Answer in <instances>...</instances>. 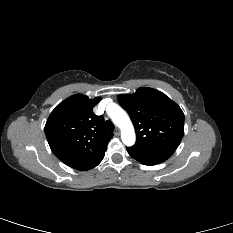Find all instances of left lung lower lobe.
<instances>
[{
    "label": "left lung lower lobe",
    "instance_id": "obj_1",
    "mask_svg": "<svg viewBox=\"0 0 233 233\" xmlns=\"http://www.w3.org/2000/svg\"><path fill=\"white\" fill-rule=\"evenodd\" d=\"M127 152L144 165H156L166 161L174 151L146 149L138 146L128 147Z\"/></svg>",
    "mask_w": 233,
    "mask_h": 233
}]
</instances>
